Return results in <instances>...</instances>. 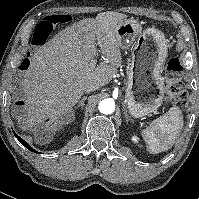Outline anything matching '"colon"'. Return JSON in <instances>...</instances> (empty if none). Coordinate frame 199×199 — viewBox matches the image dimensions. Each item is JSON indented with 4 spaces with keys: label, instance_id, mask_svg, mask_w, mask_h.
<instances>
[{
    "label": "colon",
    "instance_id": "obj_1",
    "mask_svg": "<svg viewBox=\"0 0 199 199\" xmlns=\"http://www.w3.org/2000/svg\"><path fill=\"white\" fill-rule=\"evenodd\" d=\"M67 20L66 16L50 15L40 22L34 33V43L44 44L54 27ZM183 73V66L178 58H171L166 64V91L170 100L178 106L186 105V95L183 90L180 77Z\"/></svg>",
    "mask_w": 199,
    "mask_h": 199
}]
</instances>
